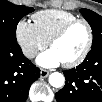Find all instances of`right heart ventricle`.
Segmentation results:
<instances>
[{
  "instance_id": "obj_1",
  "label": "right heart ventricle",
  "mask_w": 102,
  "mask_h": 102,
  "mask_svg": "<svg viewBox=\"0 0 102 102\" xmlns=\"http://www.w3.org/2000/svg\"><path fill=\"white\" fill-rule=\"evenodd\" d=\"M34 26L40 35L49 42L52 36L65 24L77 19V16L63 10H43L33 15Z\"/></svg>"
}]
</instances>
